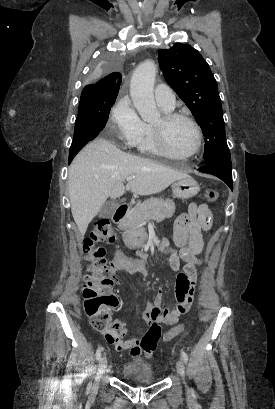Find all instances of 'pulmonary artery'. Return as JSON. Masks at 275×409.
<instances>
[{
    "label": "pulmonary artery",
    "mask_w": 275,
    "mask_h": 409,
    "mask_svg": "<svg viewBox=\"0 0 275 409\" xmlns=\"http://www.w3.org/2000/svg\"><path fill=\"white\" fill-rule=\"evenodd\" d=\"M155 99L157 105L165 110H173L175 108V95L170 91L169 85H156Z\"/></svg>",
    "instance_id": "e3ab8cb5"
}]
</instances>
